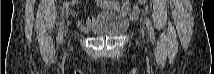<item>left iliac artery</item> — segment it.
<instances>
[{
    "label": "left iliac artery",
    "instance_id": "44dca946",
    "mask_svg": "<svg viewBox=\"0 0 214 74\" xmlns=\"http://www.w3.org/2000/svg\"><path fill=\"white\" fill-rule=\"evenodd\" d=\"M145 23H146V26L148 27V30H149L150 40H153L154 39V31L152 28L151 21L148 18H145Z\"/></svg>",
    "mask_w": 214,
    "mask_h": 74
}]
</instances>
